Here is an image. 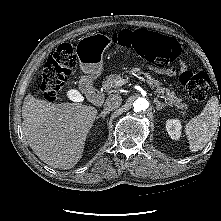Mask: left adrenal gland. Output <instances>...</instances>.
<instances>
[{"label": "left adrenal gland", "instance_id": "a2214340", "mask_svg": "<svg viewBox=\"0 0 221 221\" xmlns=\"http://www.w3.org/2000/svg\"><path fill=\"white\" fill-rule=\"evenodd\" d=\"M154 103L157 106V111L161 110L162 108H165V104L161 103L160 101H158L157 99H154Z\"/></svg>", "mask_w": 221, "mask_h": 221}]
</instances>
